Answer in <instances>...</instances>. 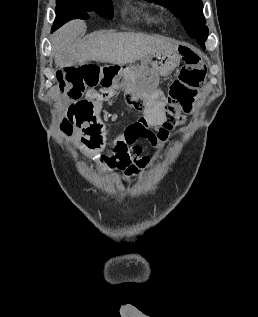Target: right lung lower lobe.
I'll use <instances>...</instances> for the list:
<instances>
[{
  "label": "right lung lower lobe",
  "mask_w": 258,
  "mask_h": 317,
  "mask_svg": "<svg viewBox=\"0 0 258 317\" xmlns=\"http://www.w3.org/2000/svg\"><path fill=\"white\" fill-rule=\"evenodd\" d=\"M55 11L56 19L52 27V32L71 19H88L91 13L100 15L98 11H86L84 8L73 4L58 5Z\"/></svg>",
  "instance_id": "98d812e1"
}]
</instances>
